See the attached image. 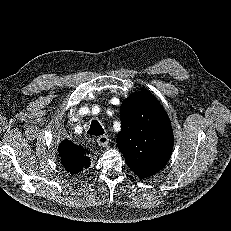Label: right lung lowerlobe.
Returning <instances> with one entry per match:
<instances>
[{
    "label": "right lung lower lobe",
    "mask_w": 231,
    "mask_h": 231,
    "mask_svg": "<svg viewBox=\"0 0 231 231\" xmlns=\"http://www.w3.org/2000/svg\"><path fill=\"white\" fill-rule=\"evenodd\" d=\"M60 146L66 148L68 150H72V151L86 152V150L82 146H78V145L74 144L72 141H69L67 139L62 141Z\"/></svg>",
    "instance_id": "obj_1"
}]
</instances>
